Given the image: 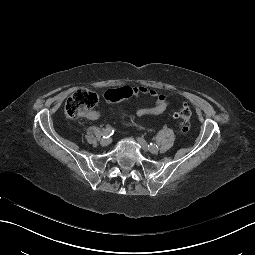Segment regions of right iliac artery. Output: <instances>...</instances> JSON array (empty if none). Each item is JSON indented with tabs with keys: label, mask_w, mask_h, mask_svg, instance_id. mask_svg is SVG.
Here are the masks:
<instances>
[{
	"label": "right iliac artery",
	"mask_w": 255,
	"mask_h": 255,
	"mask_svg": "<svg viewBox=\"0 0 255 255\" xmlns=\"http://www.w3.org/2000/svg\"><path fill=\"white\" fill-rule=\"evenodd\" d=\"M114 129L110 126H108L104 131H103V138H109L111 135L114 133Z\"/></svg>",
	"instance_id": "1"
}]
</instances>
